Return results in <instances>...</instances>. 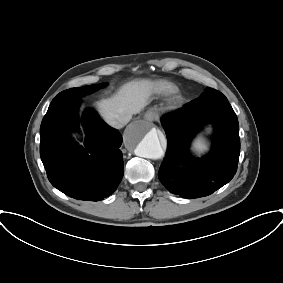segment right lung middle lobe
I'll use <instances>...</instances> for the list:
<instances>
[{
    "mask_svg": "<svg viewBox=\"0 0 283 283\" xmlns=\"http://www.w3.org/2000/svg\"><path fill=\"white\" fill-rule=\"evenodd\" d=\"M107 84L102 83V84H96V85H90V86H84V87H79V88H71L69 90H65L60 92L56 97L58 96H63V95H78V96H84L87 94H90L99 88L105 87Z\"/></svg>",
    "mask_w": 283,
    "mask_h": 283,
    "instance_id": "dd1d6c3e",
    "label": "right lung middle lobe"
}]
</instances>
